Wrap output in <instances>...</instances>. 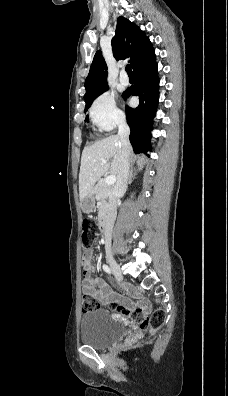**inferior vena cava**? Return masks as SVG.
<instances>
[{"mask_svg": "<svg viewBox=\"0 0 228 396\" xmlns=\"http://www.w3.org/2000/svg\"><path fill=\"white\" fill-rule=\"evenodd\" d=\"M130 128L125 120L118 122V136L122 144L121 164L117 182L112 189V194L109 204V223L105 232L106 239V253L111 254V238L113 222L116 218V202L122 197L127 188V181L129 177V156L131 154V145L129 142Z\"/></svg>", "mask_w": 228, "mask_h": 396, "instance_id": "obj_1", "label": "inferior vena cava"}]
</instances>
